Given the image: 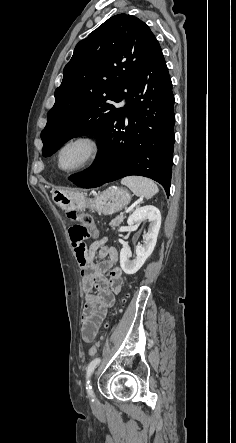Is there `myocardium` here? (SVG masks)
I'll return each instance as SVG.
<instances>
[{"mask_svg":"<svg viewBox=\"0 0 236 443\" xmlns=\"http://www.w3.org/2000/svg\"><path fill=\"white\" fill-rule=\"evenodd\" d=\"M75 143H83L87 145L89 153L87 158L78 166L72 168H63L61 165V156L64 150ZM102 152V146L99 138L93 133L84 132L76 134L65 140L57 151L56 162L58 168L65 173H77L90 168L96 163Z\"/></svg>","mask_w":236,"mask_h":443,"instance_id":"obj_1","label":"myocardium"}]
</instances>
